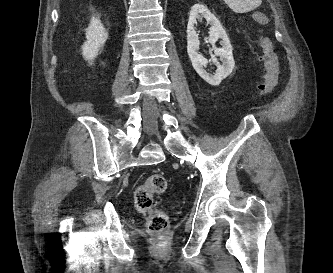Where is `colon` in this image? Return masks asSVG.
Returning <instances> with one entry per match:
<instances>
[{
	"label": "colon",
	"instance_id": "1",
	"mask_svg": "<svg viewBox=\"0 0 333 273\" xmlns=\"http://www.w3.org/2000/svg\"><path fill=\"white\" fill-rule=\"evenodd\" d=\"M252 17L259 24L268 23V17L260 11L254 12ZM259 44L262 49L260 61L264 69V74L258 88L259 93L265 96L270 94L278 84L279 64L271 39L268 36H262ZM166 188L167 181L165 177L155 173L147 176L135 191L137 209L149 214L148 227L152 232L157 234L166 231L168 218L164 212L153 207V196L163 193Z\"/></svg>",
	"mask_w": 333,
	"mask_h": 273
}]
</instances>
